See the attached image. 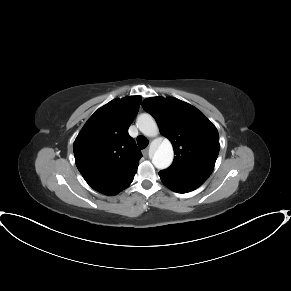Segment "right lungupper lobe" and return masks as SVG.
I'll return each mask as SVG.
<instances>
[{
  "label": "right lung upper lobe",
  "instance_id": "cb5924a9",
  "mask_svg": "<svg viewBox=\"0 0 291 291\" xmlns=\"http://www.w3.org/2000/svg\"><path fill=\"white\" fill-rule=\"evenodd\" d=\"M140 103V96L110 101L89 118L74 142L78 170L100 193L115 195L133 181L142 154L128 128Z\"/></svg>",
  "mask_w": 291,
  "mask_h": 291
}]
</instances>
